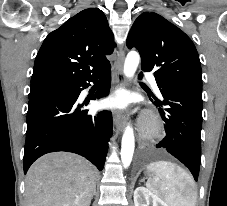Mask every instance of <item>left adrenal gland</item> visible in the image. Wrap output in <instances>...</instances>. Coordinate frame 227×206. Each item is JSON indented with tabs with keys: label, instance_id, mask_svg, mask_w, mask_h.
I'll return each mask as SVG.
<instances>
[{
	"label": "left adrenal gland",
	"instance_id": "obj_1",
	"mask_svg": "<svg viewBox=\"0 0 227 206\" xmlns=\"http://www.w3.org/2000/svg\"><path fill=\"white\" fill-rule=\"evenodd\" d=\"M145 180L144 179H142L140 182H144Z\"/></svg>",
	"mask_w": 227,
	"mask_h": 206
}]
</instances>
